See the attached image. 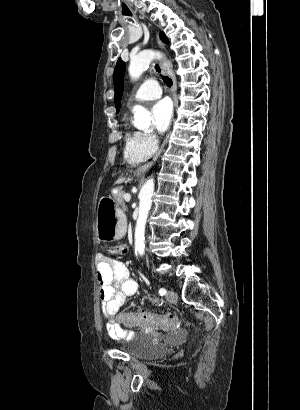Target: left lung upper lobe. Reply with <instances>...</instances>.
I'll return each mask as SVG.
<instances>
[{
	"instance_id": "1",
	"label": "left lung upper lobe",
	"mask_w": 300,
	"mask_h": 410,
	"mask_svg": "<svg viewBox=\"0 0 300 410\" xmlns=\"http://www.w3.org/2000/svg\"><path fill=\"white\" fill-rule=\"evenodd\" d=\"M160 38L163 42L169 43L168 38L165 36L163 32L160 33ZM124 73H125V62H123L121 58H119L117 61L115 70H114V87H115L114 99H115L117 113L119 112L120 102L122 98Z\"/></svg>"
}]
</instances>
